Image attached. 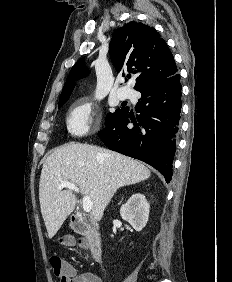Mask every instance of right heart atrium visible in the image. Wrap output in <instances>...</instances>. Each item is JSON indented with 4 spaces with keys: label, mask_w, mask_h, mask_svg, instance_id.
<instances>
[{
    "label": "right heart atrium",
    "mask_w": 232,
    "mask_h": 282,
    "mask_svg": "<svg viewBox=\"0 0 232 282\" xmlns=\"http://www.w3.org/2000/svg\"><path fill=\"white\" fill-rule=\"evenodd\" d=\"M97 117V108L87 99L76 101L71 107L66 126L69 134L73 137L86 136L92 130Z\"/></svg>",
    "instance_id": "right-heart-atrium-1"
}]
</instances>
